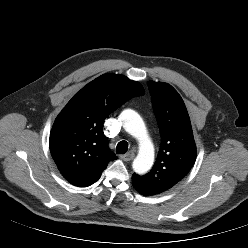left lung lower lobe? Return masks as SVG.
<instances>
[{
    "mask_svg": "<svg viewBox=\"0 0 248 248\" xmlns=\"http://www.w3.org/2000/svg\"><path fill=\"white\" fill-rule=\"evenodd\" d=\"M140 194H142V195H144V196H146V194L143 192V191H141V190H138V189H136Z\"/></svg>",
    "mask_w": 248,
    "mask_h": 248,
    "instance_id": "obj_1",
    "label": "left lung lower lobe"
}]
</instances>
